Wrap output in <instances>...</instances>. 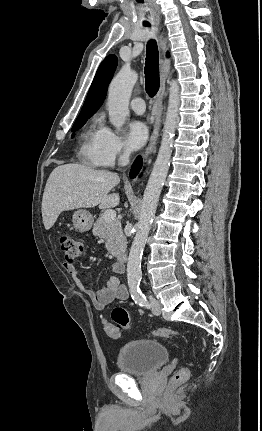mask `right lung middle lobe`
<instances>
[{
    "label": "right lung middle lobe",
    "instance_id": "dd1d6c3e",
    "mask_svg": "<svg viewBox=\"0 0 262 431\" xmlns=\"http://www.w3.org/2000/svg\"><path fill=\"white\" fill-rule=\"evenodd\" d=\"M90 117H78L72 127V132L80 129L86 122V120ZM74 137V134L72 135Z\"/></svg>",
    "mask_w": 262,
    "mask_h": 431
}]
</instances>
